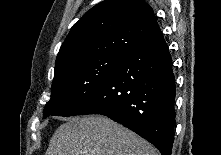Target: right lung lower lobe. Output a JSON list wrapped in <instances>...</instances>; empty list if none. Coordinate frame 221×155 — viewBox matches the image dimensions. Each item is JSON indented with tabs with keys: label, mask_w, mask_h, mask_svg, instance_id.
<instances>
[{
	"label": "right lung lower lobe",
	"mask_w": 221,
	"mask_h": 155,
	"mask_svg": "<svg viewBox=\"0 0 221 155\" xmlns=\"http://www.w3.org/2000/svg\"><path fill=\"white\" fill-rule=\"evenodd\" d=\"M175 94L171 56L159 33L125 54L78 115H105L152 143L161 155H171Z\"/></svg>",
	"instance_id": "obj_1"
}]
</instances>
